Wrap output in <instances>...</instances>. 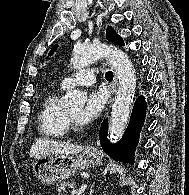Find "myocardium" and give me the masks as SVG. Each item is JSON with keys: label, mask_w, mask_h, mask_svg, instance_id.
Wrapping results in <instances>:
<instances>
[{"label": "myocardium", "mask_w": 189, "mask_h": 195, "mask_svg": "<svg viewBox=\"0 0 189 195\" xmlns=\"http://www.w3.org/2000/svg\"><path fill=\"white\" fill-rule=\"evenodd\" d=\"M66 116L68 130H71L72 132H80L82 130V127L68 111H66Z\"/></svg>", "instance_id": "obj_1"}]
</instances>
